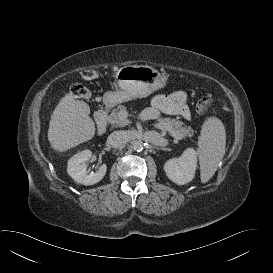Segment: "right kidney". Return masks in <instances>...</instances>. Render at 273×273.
<instances>
[{"label":"right kidney","instance_id":"right-kidney-1","mask_svg":"<svg viewBox=\"0 0 273 273\" xmlns=\"http://www.w3.org/2000/svg\"><path fill=\"white\" fill-rule=\"evenodd\" d=\"M91 157L92 152L90 150H84L69 159L67 172L75 182L83 185H93L102 180L105 176L107 171L106 164L101 165L96 172H87V162Z\"/></svg>","mask_w":273,"mask_h":273}]
</instances>
